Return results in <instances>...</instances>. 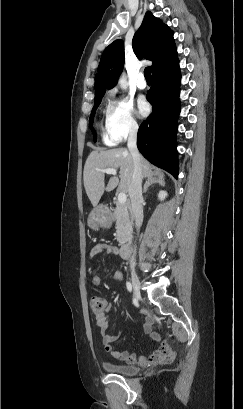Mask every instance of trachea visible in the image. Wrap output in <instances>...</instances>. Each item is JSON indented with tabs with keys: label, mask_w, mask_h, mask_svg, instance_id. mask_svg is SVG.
Segmentation results:
<instances>
[{
	"label": "trachea",
	"mask_w": 243,
	"mask_h": 409,
	"mask_svg": "<svg viewBox=\"0 0 243 409\" xmlns=\"http://www.w3.org/2000/svg\"><path fill=\"white\" fill-rule=\"evenodd\" d=\"M144 76H145V79H146V80H151V79H152V77H151V71H150V68H149V67H146V68L144 69Z\"/></svg>",
	"instance_id": "obj_1"
}]
</instances>
